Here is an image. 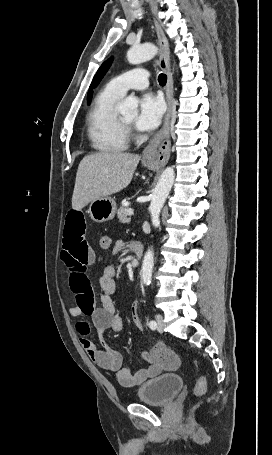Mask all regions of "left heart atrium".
Returning <instances> with one entry per match:
<instances>
[{
    "label": "left heart atrium",
    "mask_w": 272,
    "mask_h": 455,
    "mask_svg": "<svg viewBox=\"0 0 272 455\" xmlns=\"http://www.w3.org/2000/svg\"><path fill=\"white\" fill-rule=\"evenodd\" d=\"M165 106L161 97L145 93L139 101V114L135 126L140 131H152L158 127L164 114Z\"/></svg>",
    "instance_id": "1"
}]
</instances>
